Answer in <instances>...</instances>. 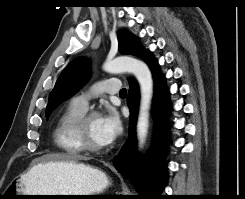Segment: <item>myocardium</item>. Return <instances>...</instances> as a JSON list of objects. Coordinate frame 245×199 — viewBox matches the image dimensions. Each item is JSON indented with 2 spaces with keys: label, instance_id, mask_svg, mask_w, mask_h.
<instances>
[{
  "label": "myocardium",
  "instance_id": "obj_1",
  "mask_svg": "<svg viewBox=\"0 0 245 199\" xmlns=\"http://www.w3.org/2000/svg\"><path fill=\"white\" fill-rule=\"evenodd\" d=\"M98 112L97 111H89L85 112L76 122L75 124V129H74V134L76 141L80 145V147L84 151L92 152V153H100L106 150V145L105 146H97L92 144L88 139L86 135V124L87 122L93 118L97 117Z\"/></svg>",
  "mask_w": 245,
  "mask_h": 199
}]
</instances>
